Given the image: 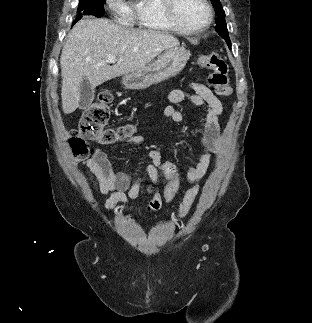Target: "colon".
<instances>
[{
	"label": "colon",
	"mask_w": 312,
	"mask_h": 323,
	"mask_svg": "<svg viewBox=\"0 0 312 323\" xmlns=\"http://www.w3.org/2000/svg\"><path fill=\"white\" fill-rule=\"evenodd\" d=\"M198 66L210 69L212 74L207 80L211 88L216 89V93L222 97H229L232 94V87L228 81V64L219 54H206L198 58ZM113 96L108 91H101L97 99L88 105L78 119V127L71 133V138L79 141H71L72 158H89L88 141L95 142L98 145L107 146L115 141L128 137L133 134L130 125L122 124L109 126L111 116V105ZM174 160H167L166 164H161V171L166 172L168 182L165 186L166 204H170L175 197L178 180L177 167ZM201 186L195 184L193 189H189L182 202L180 215H188V207L199 194ZM158 199L152 200L148 208L157 210L160 208ZM177 215V212H174Z\"/></svg>",
	"instance_id": "colon-1"
}]
</instances>
